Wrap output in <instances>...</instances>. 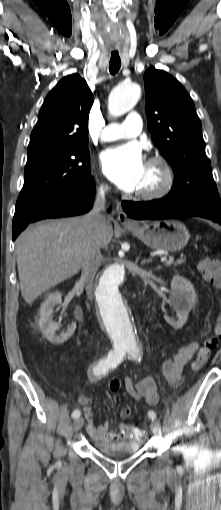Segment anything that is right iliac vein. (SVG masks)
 Returning <instances> with one entry per match:
<instances>
[{
  "label": "right iliac vein",
  "mask_w": 221,
  "mask_h": 510,
  "mask_svg": "<svg viewBox=\"0 0 221 510\" xmlns=\"http://www.w3.org/2000/svg\"><path fill=\"white\" fill-rule=\"evenodd\" d=\"M83 423H84V419L82 417H78L74 420V423H73V426H74V430L75 431H78L81 429V427L83 426Z\"/></svg>",
  "instance_id": "1"
}]
</instances>
